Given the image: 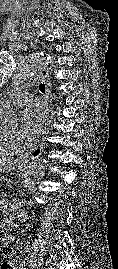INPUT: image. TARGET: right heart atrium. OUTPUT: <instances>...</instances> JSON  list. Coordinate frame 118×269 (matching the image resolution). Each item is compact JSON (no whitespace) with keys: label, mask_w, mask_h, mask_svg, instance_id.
Listing matches in <instances>:
<instances>
[{"label":"right heart atrium","mask_w":118,"mask_h":269,"mask_svg":"<svg viewBox=\"0 0 118 269\" xmlns=\"http://www.w3.org/2000/svg\"><path fill=\"white\" fill-rule=\"evenodd\" d=\"M0 139L16 149L22 148L27 143V139L23 134V132L17 129L14 130L0 129Z\"/></svg>","instance_id":"1"}]
</instances>
